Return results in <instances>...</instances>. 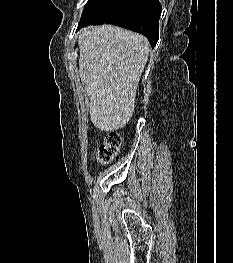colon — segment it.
<instances>
[{
	"label": "colon",
	"mask_w": 233,
	"mask_h": 263,
	"mask_svg": "<svg viewBox=\"0 0 233 263\" xmlns=\"http://www.w3.org/2000/svg\"><path fill=\"white\" fill-rule=\"evenodd\" d=\"M122 136L117 131L107 133L104 143L100 146L97 159L100 165L109 164L120 152L122 147Z\"/></svg>",
	"instance_id": "5ec220e1"
}]
</instances>
